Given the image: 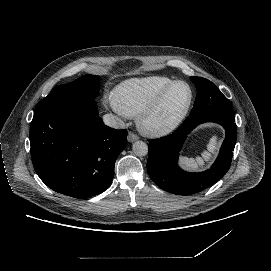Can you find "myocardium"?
I'll return each mask as SVG.
<instances>
[{"label":"myocardium","instance_id":"obj_1","mask_svg":"<svg viewBox=\"0 0 271 271\" xmlns=\"http://www.w3.org/2000/svg\"><path fill=\"white\" fill-rule=\"evenodd\" d=\"M180 83H185L190 87L191 90V96H190V100L188 102V104L186 105V107L184 108V110L176 117L174 118L172 121L166 123V124H157L154 122V117L156 116V114L161 110V108L163 107V105L166 102V99L168 98L170 92L172 91V89ZM194 99H195V90L194 87L192 86V84L190 82H188L187 80H183V79H178L173 81L160 95L159 97L155 100V102L148 107L142 114L140 117V124L142 129L153 136H161V135H165L168 134L172 131H174L177 127L180 126V124L186 119V117L188 116L192 105L194 103Z\"/></svg>","mask_w":271,"mask_h":271}]
</instances>
